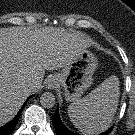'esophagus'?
Here are the masks:
<instances>
[{"label": "esophagus", "instance_id": "obj_1", "mask_svg": "<svg viewBox=\"0 0 135 135\" xmlns=\"http://www.w3.org/2000/svg\"><path fill=\"white\" fill-rule=\"evenodd\" d=\"M46 86L48 89H54L57 86V81L54 78H50L48 79Z\"/></svg>", "mask_w": 135, "mask_h": 135}]
</instances>
